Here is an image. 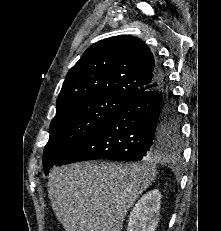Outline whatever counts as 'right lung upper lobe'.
Returning a JSON list of instances; mask_svg holds the SVG:
<instances>
[{"instance_id":"right-lung-upper-lobe-1","label":"right lung upper lobe","mask_w":221,"mask_h":231,"mask_svg":"<svg viewBox=\"0 0 221 231\" xmlns=\"http://www.w3.org/2000/svg\"><path fill=\"white\" fill-rule=\"evenodd\" d=\"M158 64L137 37L123 35L96 42L69 70L57 98V111L90 96L128 100L156 86Z\"/></svg>"}]
</instances>
